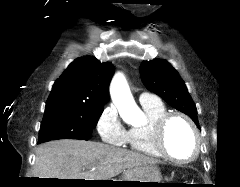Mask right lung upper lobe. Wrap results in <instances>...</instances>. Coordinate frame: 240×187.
Masks as SVG:
<instances>
[{"label": "right lung upper lobe", "instance_id": "1", "mask_svg": "<svg viewBox=\"0 0 240 187\" xmlns=\"http://www.w3.org/2000/svg\"><path fill=\"white\" fill-rule=\"evenodd\" d=\"M111 63H101L93 56L74 60L55 81L46 107L71 104L103 107L113 76Z\"/></svg>", "mask_w": 240, "mask_h": 187}]
</instances>
